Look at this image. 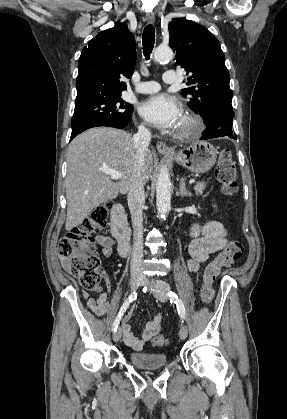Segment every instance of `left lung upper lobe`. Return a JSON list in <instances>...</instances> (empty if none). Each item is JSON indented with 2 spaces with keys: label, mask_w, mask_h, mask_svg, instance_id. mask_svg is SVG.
Returning a JSON list of instances; mask_svg holds the SVG:
<instances>
[{
  "label": "left lung upper lobe",
  "mask_w": 287,
  "mask_h": 419,
  "mask_svg": "<svg viewBox=\"0 0 287 419\" xmlns=\"http://www.w3.org/2000/svg\"><path fill=\"white\" fill-rule=\"evenodd\" d=\"M169 45L176 53V66L190 76L188 88L181 90L189 107L205 120L211 109L231 104L233 92L220 43L205 27L187 19H175L168 25Z\"/></svg>",
  "instance_id": "obj_1"
}]
</instances>
